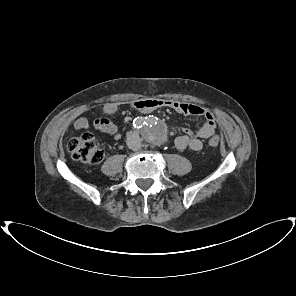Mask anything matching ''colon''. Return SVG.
<instances>
[{"label":"colon","mask_w":296,"mask_h":296,"mask_svg":"<svg viewBox=\"0 0 296 296\" xmlns=\"http://www.w3.org/2000/svg\"><path fill=\"white\" fill-rule=\"evenodd\" d=\"M219 144L220 140L217 136L210 138L211 147L216 148ZM68 150L74 160L86 164H97L104 156L96 137L90 132L72 137L68 142Z\"/></svg>","instance_id":"colon-1"}]
</instances>
